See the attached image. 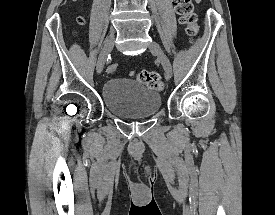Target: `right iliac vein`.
I'll list each match as a JSON object with an SVG mask.
<instances>
[{"label": "right iliac vein", "mask_w": 275, "mask_h": 215, "mask_svg": "<svg viewBox=\"0 0 275 215\" xmlns=\"http://www.w3.org/2000/svg\"><path fill=\"white\" fill-rule=\"evenodd\" d=\"M114 40L115 36L113 33L109 34L107 37L104 47L99 55L98 61H97V73L100 74L104 68V64L106 61V58L108 54L112 51L114 46Z\"/></svg>", "instance_id": "right-iliac-vein-1"}]
</instances>
